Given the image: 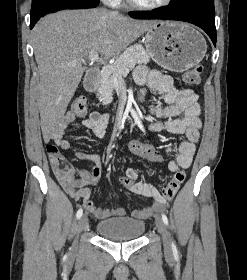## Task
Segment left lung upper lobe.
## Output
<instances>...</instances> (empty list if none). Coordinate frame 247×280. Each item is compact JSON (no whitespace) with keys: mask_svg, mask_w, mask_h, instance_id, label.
Here are the masks:
<instances>
[{"mask_svg":"<svg viewBox=\"0 0 247 280\" xmlns=\"http://www.w3.org/2000/svg\"><path fill=\"white\" fill-rule=\"evenodd\" d=\"M197 3H214V0H173L170 6L182 7V6H188Z\"/></svg>","mask_w":247,"mask_h":280,"instance_id":"5c2ea615","label":"left lung upper lobe"}]
</instances>
